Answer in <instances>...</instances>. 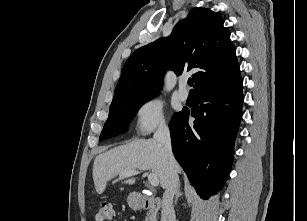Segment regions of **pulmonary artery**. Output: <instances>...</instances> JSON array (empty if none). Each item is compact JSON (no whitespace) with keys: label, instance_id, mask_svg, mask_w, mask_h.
<instances>
[{"label":"pulmonary artery","instance_id":"obj_1","mask_svg":"<svg viewBox=\"0 0 307 221\" xmlns=\"http://www.w3.org/2000/svg\"><path fill=\"white\" fill-rule=\"evenodd\" d=\"M187 80L181 79L179 82V89H178V97L181 101H186L188 99L189 93L186 89Z\"/></svg>","mask_w":307,"mask_h":221}]
</instances>
